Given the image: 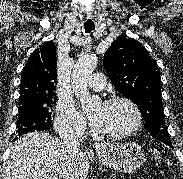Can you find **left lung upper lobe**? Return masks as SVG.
<instances>
[{"mask_svg":"<svg viewBox=\"0 0 183 179\" xmlns=\"http://www.w3.org/2000/svg\"><path fill=\"white\" fill-rule=\"evenodd\" d=\"M104 67L116 90L138 105L150 134L164 143L171 142L159 70L143 45L133 38L118 37L104 55Z\"/></svg>","mask_w":183,"mask_h":179,"instance_id":"1","label":"left lung upper lobe"}]
</instances>
